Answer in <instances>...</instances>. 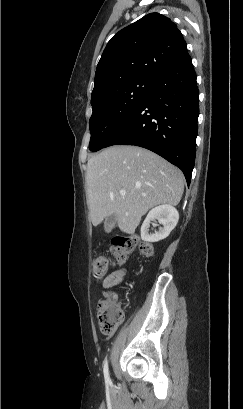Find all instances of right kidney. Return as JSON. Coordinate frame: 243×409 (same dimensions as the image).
I'll use <instances>...</instances> for the list:
<instances>
[{"mask_svg":"<svg viewBox=\"0 0 243 409\" xmlns=\"http://www.w3.org/2000/svg\"><path fill=\"white\" fill-rule=\"evenodd\" d=\"M163 226L154 234L149 233L151 221H156ZM179 220V213L171 205H161L153 208L147 214L141 226V238L146 242H158L169 236L170 232L175 228Z\"/></svg>","mask_w":243,"mask_h":409,"instance_id":"1","label":"right kidney"}]
</instances>
